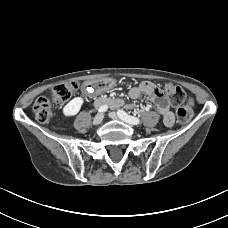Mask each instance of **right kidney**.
Listing matches in <instances>:
<instances>
[{
	"instance_id": "ca27d5eb",
	"label": "right kidney",
	"mask_w": 228,
	"mask_h": 228,
	"mask_svg": "<svg viewBox=\"0 0 228 228\" xmlns=\"http://www.w3.org/2000/svg\"><path fill=\"white\" fill-rule=\"evenodd\" d=\"M83 98L81 97H75L73 98L69 103H67L63 108V114L66 117L74 116L76 115L83 105Z\"/></svg>"
}]
</instances>
